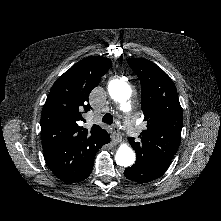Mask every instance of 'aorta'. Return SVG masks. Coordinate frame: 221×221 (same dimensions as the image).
<instances>
[{
  "instance_id": "aorta-1",
  "label": "aorta",
  "mask_w": 221,
  "mask_h": 221,
  "mask_svg": "<svg viewBox=\"0 0 221 221\" xmlns=\"http://www.w3.org/2000/svg\"><path fill=\"white\" fill-rule=\"evenodd\" d=\"M108 92L111 98L120 103L123 108L126 101L131 97L132 89L125 81L113 79L109 82ZM135 159L136 156L133 149L127 144H122L115 155L116 163L119 166H131L134 164Z\"/></svg>"
}]
</instances>
